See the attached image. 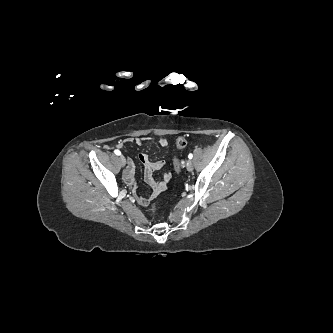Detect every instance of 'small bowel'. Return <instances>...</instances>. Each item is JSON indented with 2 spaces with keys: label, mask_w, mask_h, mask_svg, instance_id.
<instances>
[{
  "label": "small bowel",
  "mask_w": 333,
  "mask_h": 333,
  "mask_svg": "<svg viewBox=\"0 0 333 333\" xmlns=\"http://www.w3.org/2000/svg\"><path fill=\"white\" fill-rule=\"evenodd\" d=\"M146 137H127L125 139L126 142H135L137 145H142L146 142ZM159 145L162 147H166L168 145V141L165 138L159 139ZM118 148H122L123 144L118 143ZM138 160L143 164L145 169V180L151 188V193L148 196H137V202L141 206H148L149 203L161 192L165 191L167 188V184L171 178L170 174H165L162 179L156 180L153 176V173L157 170H160L164 166V161H151L146 154H139ZM135 175V165L132 160L128 161V166L124 172V181L127 185H129L133 191H136V184L134 180Z\"/></svg>",
  "instance_id": "c3829d8e"
}]
</instances>
